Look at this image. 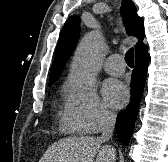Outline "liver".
Listing matches in <instances>:
<instances>
[{"mask_svg":"<svg viewBox=\"0 0 168 162\" xmlns=\"http://www.w3.org/2000/svg\"><path fill=\"white\" fill-rule=\"evenodd\" d=\"M102 143L100 137H67L49 146L39 162H114L115 151Z\"/></svg>","mask_w":168,"mask_h":162,"instance_id":"obj_1","label":"liver"}]
</instances>
